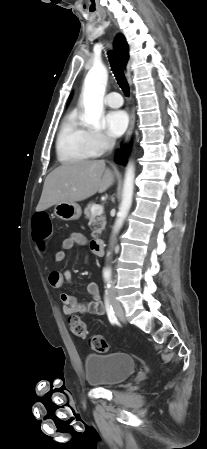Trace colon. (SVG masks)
Returning <instances> with one entry per match:
<instances>
[{
    "label": "colon",
    "instance_id": "obj_1",
    "mask_svg": "<svg viewBox=\"0 0 207 449\" xmlns=\"http://www.w3.org/2000/svg\"><path fill=\"white\" fill-rule=\"evenodd\" d=\"M52 224L49 216L44 212L35 213L33 216V239L40 250H45L52 236ZM70 331L74 336L84 338L87 336V327L82 318L71 315L68 319ZM91 348L97 352H106L108 343L101 335H93L89 338Z\"/></svg>",
    "mask_w": 207,
    "mask_h": 449
}]
</instances>
